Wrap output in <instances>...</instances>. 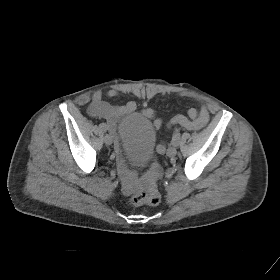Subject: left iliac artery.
I'll return each mask as SVG.
<instances>
[{
  "label": "left iliac artery",
  "instance_id": "1",
  "mask_svg": "<svg viewBox=\"0 0 280 280\" xmlns=\"http://www.w3.org/2000/svg\"><path fill=\"white\" fill-rule=\"evenodd\" d=\"M179 140H180V131L179 130H175L172 136V141L171 144L174 147H178L179 146Z\"/></svg>",
  "mask_w": 280,
  "mask_h": 280
}]
</instances>
